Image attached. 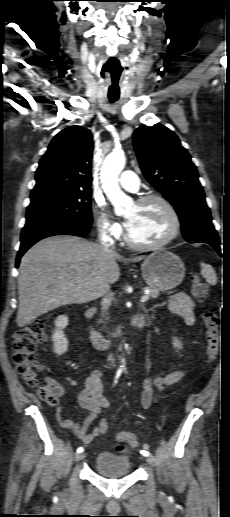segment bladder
<instances>
[{
    "instance_id": "1",
    "label": "bladder",
    "mask_w": 230,
    "mask_h": 517,
    "mask_svg": "<svg viewBox=\"0 0 230 517\" xmlns=\"http://www.w3.org/2000/svg\"><path fill=\"white\" fill-rule=\"evenodd\" d=\"M96 473L109 478L126 476L131 473L130 462L125 457H119L112 453L102 452L94 461Z\"/></svg>"
}]
</instances>
